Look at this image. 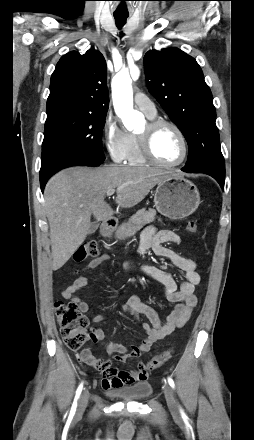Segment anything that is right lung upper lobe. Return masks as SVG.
<instances>
[{
  "instance_id": "1",
  "label": "right lung upper lobe",
  "mask_w": 254,
  "mask_h": 440,
  "mask_svg": "<svg viewBox=\"0 0 254 440\" xmlns=\"http://www.w3.org/2000/svg\"><path fill=\"white\" fill-rule=\"evenodd\" d=\"M109 94L106 62L96 50L71 51L59 60L51 76L47 111L71 107L90 113H107Z\"/></svg>"
}]
</instances>
